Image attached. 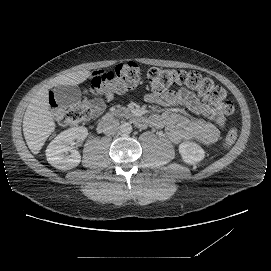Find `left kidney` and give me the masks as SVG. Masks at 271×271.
<instances>
[{
    "instance_id": "obj_1",
    "label": "left kidney",
    "mask_w": 271,
    "mask_h": 271,
    "mask_svg": "<svg viewBox=\"0 0 271 271\" xmlns=\"http://www.w3.org/2000/svg\"><path fill=\"white\" fill-rule=\"evenodd\" d=\"M180 153L187 163H195L204 157L203 149L193 142H184L180 145Z\"/></svg>"
}]
</instances>
